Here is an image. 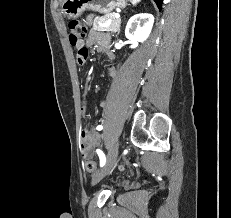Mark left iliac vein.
<instances>
[{
	"mask_svg": "<svg viewBox=\"0 0 231 218\" xmlns=\"http://www.w3.org/2000/svg\"><path fill=\"white\" fill-rule=\"evenodd\" d=\"M119 145H120L119 142L116 141L112 145V147L109 149L104 167L92 176V183L93 184H96L97 182H99L112 169V167L114 166V164L117 160V156H118V152H119Z\"/></svg>",
	"mask_w": 231,
	"mask_h": 218,
	"instance_id": "4c4485c4",
	"label": "left iliac vein"
}]
</instances>
